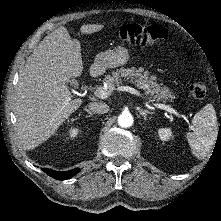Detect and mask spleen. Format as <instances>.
Wrapping results in <instances>:
<instances>
[{
	"instance_id": "obj_1",
	"label": "spleen",
	"mask_w": 221,
	"mask_h": 221,
	"mask_svg": "<svg viewBox=\"0 0 221 221\" xmlns=\"http://www.w3.org/2000/svg\"><path fill=\"white\" fill-rule=\"evenodd\" d=\"M193 131L186 135L193 155L203 159L213 148L218 135V121L213 105L207 104L192 119Z\"/></svg>"
}]
</instances>
